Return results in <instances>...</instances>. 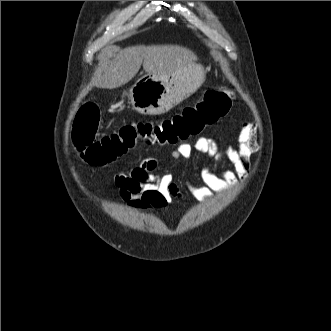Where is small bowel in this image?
Returning <instances> with one entry per match:
<instances>
[{"label": "small bowel", "mask_w": 331, "mask_h": 331, "mask_svg": "<svg viewBox=\"0 0 331 331\" xmlns=\"http://www.w3.org/2000/svg\"><path fill=\"white\" fill-rule=\"evenodd\" d=\"M196 150L205 154L216 164L223 158L233 166V170L204 165L200 172L202 185L188 183L190 193L200 200H210L215 193L225 192L247 176L251 157L258 151L257 127L255 123H244L238 136L237 147L221 148L211 138L200 137L194 145L180 144L171 153L175 159H189ZM158 161L144 158L126 172L115 175L114 182L120 197L135 210L163 209L181 197L178 186L171 174L157 175Z\"/></svg>", "instance_id": "c3829d8e"}]
</instances>
